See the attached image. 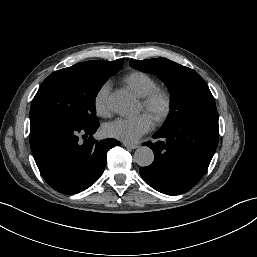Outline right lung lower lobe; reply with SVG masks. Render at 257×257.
<instances>
[{
    "instance_id": "1",
    "label": "right lung lower lobe",
    "mask_w": 257,
    "mask_h": 257,
    "mask_svg": "<svg viewBox=\"0 0 257 257\" xmlns=\"http://www.w3.org/2000/svg\"><path fill=\"white\" fill-rule=\"evenodd\" d=\"M98 127L99 122L77 127L51 119L31 120V151L41 175L53 189L76 194L101 176L107 152L120 142L112 138L95 141L92 135Z\"/></svg>"
}]
</instances>
